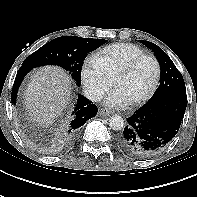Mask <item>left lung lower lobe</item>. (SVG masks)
<instances>
[{"mask_svg":"<svg viewBox=\"0 0 197 197\" xmlns=\"http://www.w3.org/2000/svg\"><path fill=\"white\" fill-rule=\"evenodd\" d=\"M187 106L186 90H176L145 104L127 119L117 136L120 148L144 159L162 151L177 134Z\"/></svg>","mask_w":197,"mask_h":197,"instance_id":"obj_1","label":"left lung lower lobe"}]
</instances>
